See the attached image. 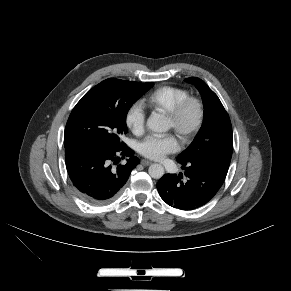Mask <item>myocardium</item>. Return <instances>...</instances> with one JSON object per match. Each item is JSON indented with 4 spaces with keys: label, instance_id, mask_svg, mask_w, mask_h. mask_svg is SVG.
<instances>
[{
    "label": "myocardium",
    "instance_id": "1",
    "mask_svg": "<svg viewBox=\"0 0 291 291\" xmlns=\"http://www.w3.org/2000/svg\"><path fill=\"white\" fill-rule=\"evenodd\" d=\"M190 107H193L196 111V118L193 125L183 130L180 126L181 119ZM167 117L173 123L174 131L179 135L183 143L191 142L196 134L201 129L205 118V107L203 101L194 96H189L186 99L179 102L168 114Z\"/></svg>",
    "mask_w": 291,
    "mask_h": 291
}]
</instances>
